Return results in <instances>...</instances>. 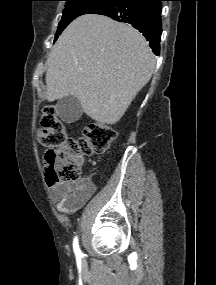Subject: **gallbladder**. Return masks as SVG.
I'll return each instance as SVG.
<instances>
[{"mask_svg": "<svg viewBox=\"0 0 216 285\" xmlns=\"http://www.w3.org/2000/svg\"><path fill=\"white\" fill-rule=\"evenodd\" d=\"M56 114L65 123H73L82 115L81 103L74 96H66L59 99L56 104Z\"/></svg>", "mask_w": 216, "mask_h": 285, "instance_id": "gallbladder-1", "label": "gallbladder"}]
</instances>
